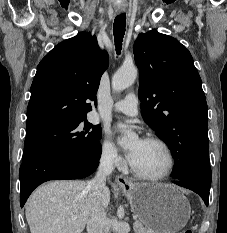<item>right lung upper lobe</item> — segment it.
I'll return each mask as SVG.
<instances>
[{
	"label": "right lung upper lobe",
	"mask_w": 227,
	"mask_h": 233,
	"mask_svg": "<svg viewBox=\"0 0 227 233\" xmlns=\"http://www.w3.org/2000/svg\"><path fill=\"white\" fill-rule=\"evenodd\" d=\"M107 67L108 54L90 33H78L55 46L39 63L31 85L26 135L86 118L97 104Z\"/></svg>",
	"instance_id": "cb5924a9"
}]
</instances>
